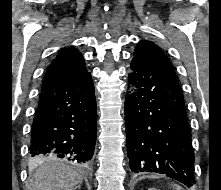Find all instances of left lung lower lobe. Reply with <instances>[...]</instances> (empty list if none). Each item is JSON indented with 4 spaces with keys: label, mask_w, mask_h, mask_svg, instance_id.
<instances>
[{
    "label": "left lung lower lobe",
    "mask_w": 221,
    "mask_h": 190,
    "mask_svg": "<svg viewBox=\"0 0 221 190\" xmlns=\"http://www.w3.org/2000/svg\"><path fill=\"white\" fill-rule=\"evenodd\" d=\"M130 68L125 124L132 172L165 174L192 187L194 152L179 82L138 58Z\"/></svg>",
    "instance_id": "1"
}]
</instances>
